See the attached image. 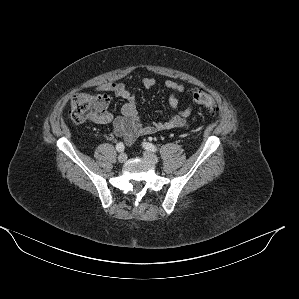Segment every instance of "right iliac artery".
I'll return each mask as SVG.
<instances>
[{"instance_id": "1", "label": "right iliac artery", "mask_w": 299, "mask_h": 299, "mask_svg": "<svg viewBox=\"0 0 299 299\" xmlns=\"http://www.w3.org/2000/svg\"><path fill=\"white\" fill-rule=\"evenodd\" d=\"M124 149H125V146H124V144L122 142L117 143L116 150L118 152H122V151H124Z\"/></svg>"}]
</instances>
